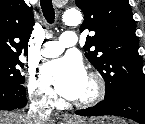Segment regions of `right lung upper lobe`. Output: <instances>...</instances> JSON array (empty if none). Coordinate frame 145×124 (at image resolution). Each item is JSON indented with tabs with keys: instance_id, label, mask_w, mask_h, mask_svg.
Wrapping results in <instances>:
<instances>
[{
	"instance_id": "right-lung-upper-lobe-1",
	"label": "right lung upper lobe",
	"mask_w": 145,
	"mask_h": 124,
	"mask_svg": "<svg viewBox=\"0 0 145 124\" xmlns=\"http://www.w3.org/2000/svg\"><path fill=\"white\" fill-rule=\"evenodd\" d=\"M33 26V12L24 0H0V53H26Z\"/></svg>"
}]
</instances>
